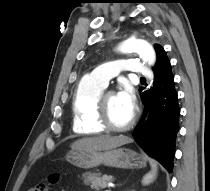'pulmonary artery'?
<instances>
[{"mask_svg":"<svg viewBox=\"0 0 210 191\" xmlns=\"http://www.w3.org/2000/svg\"><path fill=\"white\" fill-rule=\"evenodd\" d=\"M128 70L139 76H150V71L141 62L134 59H119L103 63L87 74V77L103 86L121 71Z\"/></svg>","mask_w":210,"mask_h":191,"instance_id":"e3ab8cb5","label":"pulmonary artery"}]
</instances>
